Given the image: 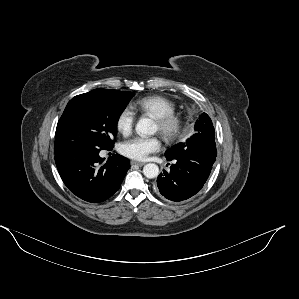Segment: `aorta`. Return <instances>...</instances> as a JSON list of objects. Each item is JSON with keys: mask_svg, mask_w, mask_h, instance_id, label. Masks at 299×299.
I'll return each instance as SVG.
<instances>
[{"mask_svg": "<svg viewBox=\"0 0 299 299\" xmlns=\"http://www.w3.org/2000/svg\"><path fill=\"white\" fill-rule=\"evenodd\" d=\"M135 130L137 134L153 135L157 131L155 123L149 118H140L136 124ZM143 174L145 177L152 179L158 176L159 167L154 163H148L143 167Z\"/></svg>", "mask_w": 299, "mask_h": 299, "instance_id": "obj_1", "label": "aorta"}]
</instances>
